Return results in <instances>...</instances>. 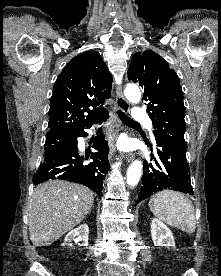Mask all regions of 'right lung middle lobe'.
<instances>
[{
    "instance_id": "right-lung-middle-lobe-1",
    "label": "right lung middle lobe",
    "mask_w": 221,
    "mask_h": 276,
    "mask_svg": "<svg viewBox=\"0 0 221 276\" xmlns=\"http://www.w3.org/2000/svg\"><path fill=\"white\" fill-rule=\"evenodd\" d=\"M73 143H74L73 135L46 136L44 154L47 155L52 152L69 149L73 145Z\"/></svg>"
}]
</instances>
